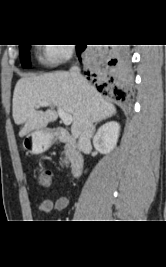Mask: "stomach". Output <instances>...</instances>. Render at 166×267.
<instances>
[{
	"instance_id": "stomach-1",
	"label": "stomach",
	"mask_w": 166,
	"mask_h": 267,
	"mask_svg": "<svg viewBox=\"0 0 166 267\" xmlns=\"http://www.w3.org/2000/svg\"><path fill=\"white\" fill-rule=\"evenodd\" d=\"M54 141V135L48 129H38L28 134L23 140L24 149L32 154L47 151Z\"/></svg>"
}]
</instances>
